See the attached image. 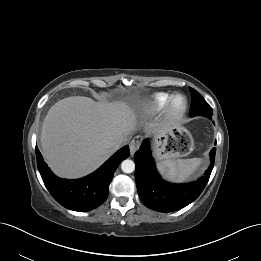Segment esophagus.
Returning <instances> with one entry per match:
<instances>
[{
  "instance_id": "1",
  "label": "esophagus",
  "mask_w": 261,
  "mask_h": 261,
  "mask_svg": "<svg viewBox=\"0 0 261 261\" xmlns=\"http://www.w3.org/2000/svg\"><path fill=\"white\" fill-rule=\"evenodd\" d=\"M139 146H140V141L137 139H133L130 142L129 148H130V152L132 155L136 152V150L139 148Z\"/></svg>"
}]
</instances>
